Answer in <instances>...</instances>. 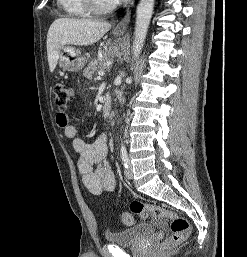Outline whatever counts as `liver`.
<instances>
[{
    "instance_id": "6515ba94",
    "label": "liver",
    "mask_w": 247,
    "mask_h": 257,
    "mask_svg": "<svg viewBox=\"0 0 247 257\" xmlns=\"http://www.w3.org/2000/svg\"><path fill=\"white\" fill-rule=\"evenodd\" d=\"M111 28V24L90 19H56L47 34V56L50 72L57 66L60 50L65 45L88 46L96 43Z\"/></svg>"
}]
</instances>
